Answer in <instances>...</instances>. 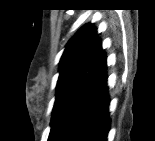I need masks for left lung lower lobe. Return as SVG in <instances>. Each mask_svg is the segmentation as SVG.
I'll list each match as a JSON object with an SVG mask.
<instances>
[{
	"mask_svg": "<svg viewBox=\"0 0 155 141\" xmlns=\"http://www.w3.org/2000/svg\"><path fill=\"white\" fill-rule=\"evenodd\" d=\"M107 63L99 68L67 112L58 141H107L110 129Z\"/></svg>",
	"mask_w": 155,
	"mask_h": 141,
	"instance_id": "obj_1",
	"label": "left lung lower lobe"
}]
</instances>
